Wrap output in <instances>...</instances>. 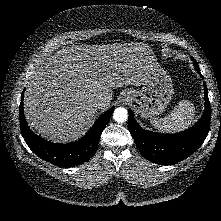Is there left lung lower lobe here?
<instances>
[{
  "label": "left lung lower lobe",
  "mask_w": 221,
  "mask_h": 221,
  "mask_svg": "<svg viewBox=\"0 0 221 221\" xmlns=\"http://www.w3.org/2000/svg\"><path fill=\"white\" fill-rule=\"evenodd\" d=\"M196 70L200 73L199 67ZM204 96L205 111L200 120L191 128L175 134L142 129L130 109L128 127L140 153L149 161L161 165H172L192 155L203 144L210 127L211 108L205 83Z\"/></svg>",
  "instance_id": "0a47b994"
}]
</instances>
